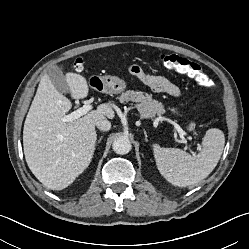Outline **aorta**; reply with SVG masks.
I'll use <instances>...</instances> for the list:
<instances>
[{
  "mask_svg": "<svg viewBox=\"0 0 249 249\" xmlns=\"http://www.w3.org/2000/svg\"><path fill=\"white\" fill-rule=\"evenodd\" d=\"M112 147L115 153L124 155L129 153L132 144L127 137H118L113 141Z\"/></svg>",
  "mask_w": 249,
  "mask_h": 249,
  "instance_id": "obj_1",
  "label": "aorta"
}]
</instances>
